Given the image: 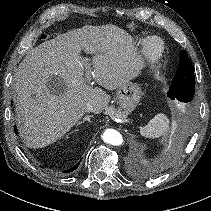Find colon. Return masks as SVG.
<instances>
[{
  "instance_id": "obj_1",
  "label": "colon",
  "mask_w": 211,
  "mask_h": 211,
  "mask_svg": "<svg viewBox=\"0 0 211 211\" xmlns=\"http://www.w3.org/2000/svg\"><path fill=\"white\" fill-rule=\"evenodd\" d=\"M41 39H46V35H42L41 36Z\"/></svg>"
}]
</instances>
